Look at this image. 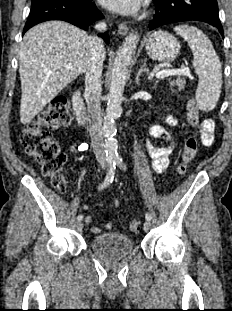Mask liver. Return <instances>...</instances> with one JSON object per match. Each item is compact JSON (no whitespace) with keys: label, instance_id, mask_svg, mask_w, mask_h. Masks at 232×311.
<instances>
[{"label":"liver","instance_id":"liver-1","mask_svg":"<svg viewBox=\"0 0 232 311\" xmlns=\"http://www.w3.org/2000/svg\"><path fill=\"white\" fill-rule=\"evenodd\" d=\"M88 34L63 21L30 29L19 52L20 121L29 123L69 83L86 71ZM104 59L106 52L104 50ZM71 64L72 69H66Z\"/></svg>","mask_w":232,"mask_h":311}]
</instances>
